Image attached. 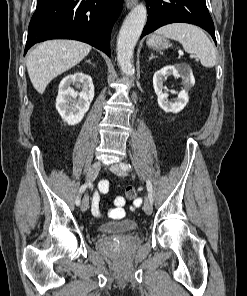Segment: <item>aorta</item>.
<instances>
[{
    "instance_id": "1",
    "label": "aorta",
    "mask_w": 247,
    "mask_h": 296,
    "mask_svg": "<svg viewBox=\"0 0 247 296\" xmlns=\"http://www.w3.org/2000/svg\"><path fill=\"white\" fill-rule=\"evenodd\" d=\"M147 19L145 5L137 4L125 18L117 39V61L126 76H132L135 45L142 33Z\"/></svg>"
}]
</instances>
